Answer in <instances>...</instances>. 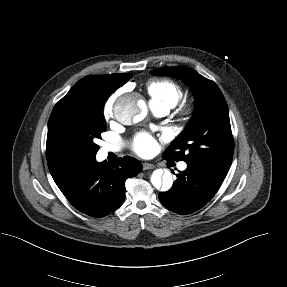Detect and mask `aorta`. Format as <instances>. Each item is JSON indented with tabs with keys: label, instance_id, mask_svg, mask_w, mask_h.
I'll return each mask as SVG.
<instances>
[{
	"label": "aorta",
	"instance_id": "aorta-1",
	"mask_svg": "<svg viewBox=\"0 0 287 287\" xmlns=\"http://www.w3.org/2000/svg\"><path fill=\"white\" fill-rule=\"evenodd\" d=\"M146 113V104L137 94L120 97L114 106L115 118L126 125L143 120ZM150 180L157 190L168 191L173 185V176L168 170L156 169Z\"/></svg>",
	"mask_w": 287,
	"mask_h": 287
}]
</instances>
